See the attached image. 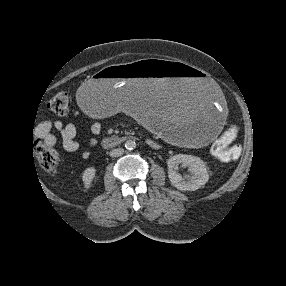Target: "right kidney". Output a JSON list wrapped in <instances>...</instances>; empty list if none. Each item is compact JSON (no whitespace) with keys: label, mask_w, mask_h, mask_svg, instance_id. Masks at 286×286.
Masks as SVG:
<instances>
[{"label":"right kidney","mask_w":286,"mask_h":286,"mask_svg":"<svg viewBox=\"0 0 286 286\" xmlns=\"http://www.w3.org/2000/svg\"><path fill=\"white\" fill-rule=\"evenodd\" d=\"M96 169L94 167H88L84 170L82 175V181L85 188H90L91 183L95 177Z\"/></svg>","instance_id":"ca27d5eb"}]
</instances>
